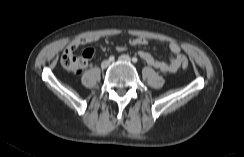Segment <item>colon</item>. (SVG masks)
I'll list each match as a JSON object with an SVG mask.
<instances>
[{
    "label": "colon",
    "instance_id": "5ec220e1",
    "mask_svg": "<svg viewBox=\"0 0 244 157\" xmlns=\"http://www.w3.org/2000/svg\"><path fill=\"white\" fill-rule=\"evenodd\" d=\"M92 57V51L87 49L82 56L75 55L73 50L66 49L61 56V66L71 72V73H80L87 64V60ZM188 59L185 56L181 58V66L183 68L188 67Z\"/></svg>",
    "mask_w": 244,
    "mask_h": 157
}]
</instances>
